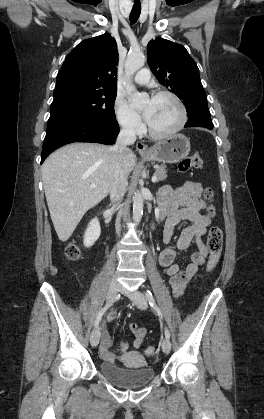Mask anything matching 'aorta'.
Wrapping results in <instances>:
<instances>
[{"mask_svg": "<svg viewBox=\"0 0 264 419\" xmlns=\"http://www.w3.org/2000/svg\"><path fill=\"white\" fill-rule=\"evenodd\" d=\"M144 64L145 56L142 53H131L125 61V89L129 102L135 107H141L148 100V94L138 92L131 81L133 74L142 68ZM143 206L142 195L137 191L133 196V219L136 223H139L142 218Z\"/></svg>", "mask_w": 264, "mask_h": 419, "instance_id": "aorta-1", "label": "aorta"}]
</instances>
